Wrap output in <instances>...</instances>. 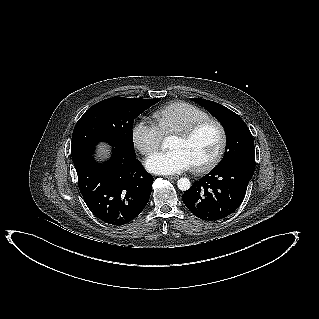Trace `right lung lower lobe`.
<instances>
[{"instance_id": "obj_1", "label": "right lung lower lobe", "mask_w": 319, "mask_h": 319, "mask_svg": "<svg viewBox=\"0 0 319 319\" xmlns=\"http://www.w3.org/2000/svg\"><path fill=\"white\" fill-rule=\"evenodd\" d=\"M94 148L72 155L78 175V187L91 212L111 225L132 221L149 201L153 177L136 155L129 157L112 149L109 161L98 163Z\"/></svg>"}]
</instances>
